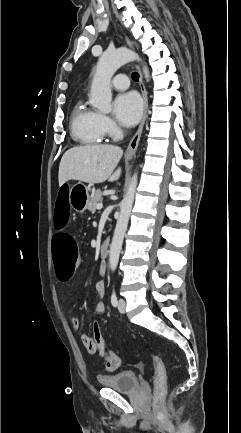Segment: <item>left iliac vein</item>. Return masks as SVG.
I'll return each mask as SVG.
<instances>
[{
  "label": "left iliac vein",
  "instance_id": "obj_1",
  "mask_svg": "<svg viewBox=\"0 0 241 433\" xmlns=\"http://www.w3.org/2000/svg\"><path fill=\"white\" fill-rule=\"evenodd\" d=\"M125 309H126V302H125L124 299L120 298L119 301H118V310L121 313H124Z\"/></svg>",
  "mask_w": 241,
  "mask_h": 433
}]
</instances>
